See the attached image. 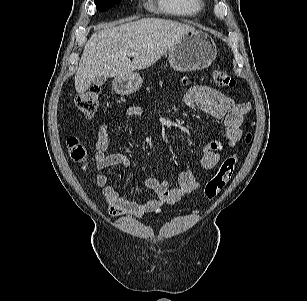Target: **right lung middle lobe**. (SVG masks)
Here are the masks:
<instances>
[{
  "mask_svg": "<svg viewBox=\"0 0 307 301\" xmlns=\"http://www.w3.org/2000/svg\"><path fill=\"white\" fill-rule=\"evenodd\" d=\"M121 1L122 0H94L97 6V10L99 11H106L108 8L114 6Z\"/></svg>",
  "mask_w": 307,
  "mask_h": 301,
  "instance_id": "obj_1",
  "label": "right lung middle lobe"
}]
</instances>
